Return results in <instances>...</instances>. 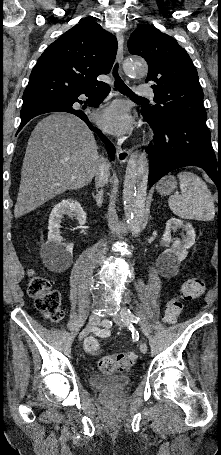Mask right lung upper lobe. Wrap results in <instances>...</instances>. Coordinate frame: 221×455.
I'll use <instances>...</instances> for the list:
<instances>
[{"instance_id": "right-lung-upper-lobe-1", "label": "right lung upper lobe", "mask_w": 221, "mask_h": 455, "mask_svg": "<svg viewBox=\"0 0 221 455\" xmlns=\"http://www.w3.org/2000/svg\"><path fill=\"white\" fill-rule=\"evenodd\" d=\"M117 40L98 23L84 21L53 42L34 66L23 94V107L58 100L108 74Z\"/></svg>"}]
</instances>
